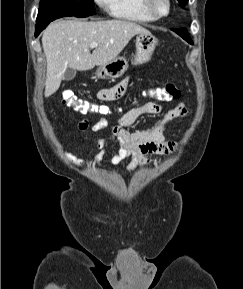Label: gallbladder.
Listing matches in <instances>:
<instances>
[{
  "label": "gallbladder",
  "mask_w": 243,
  "mask_h": 289,
  "mask_svg": "<svg viewBox=\"0 0 243 289\" xmlns=\"http://www.w3.org/2000/svg\"><path fill=\"white\" fill-rule=\"evenodd\" d=\"M76 76V70L71 68V67H68L65 74H64V77L63 79L66 80V81H70L72 80L74 77Z\"/></svg>",
  "instance_id": "1"
}]
</instances>
